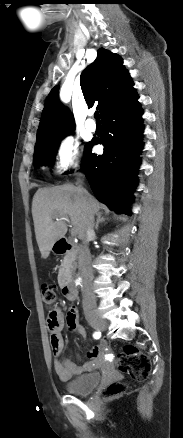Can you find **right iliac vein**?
Returning a JSON list of instances; mask_svg holds the SVG:
<instances>
[{
    "instance_id": "obj_1",
    "label": "right iliac vein",
    "mask_w": 183,
    "mask_h": 438,
    "mask_svg": "<svg viewBox=\"0 0 183 438\" xmlns=\"http://www.w3.org/2000/svg\"><path fill=\"white\" fill-rule=\"evenodd\" d=\"M89 323L93 328L97 330H104L107 327L106 320L97 314H94L89 318Z\"/></svg>"
}]
</instances>
